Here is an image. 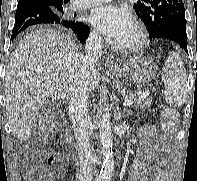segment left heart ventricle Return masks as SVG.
I'll return each instance as SVG.
<instances>
[{
    "mask_svg": "<svg viewBox=\"0 0 197 181\" xmlns=\"http://www.w3.org/2000/svg\"><path fill=\"white\" fill-rule=\"evenodd\" d=\"M134 36H135V31L133 28L132 31L126 36V38L121 43H128V42L132 41Z\"/></svg>",
    "mask_w": 197,
    "mask_h": 181,
    "instance_id": "obj_1",
    "label": "left heart ventricle"
}]
</instances>
